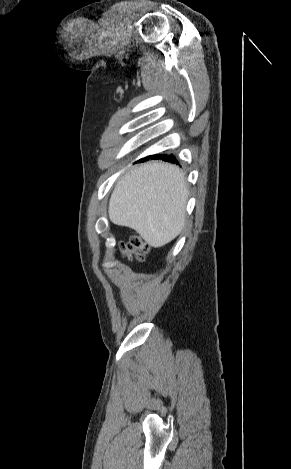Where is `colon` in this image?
Instances as JSON below:
<instances>
[{"instance_id":"1","label":"colon","mask_w":291,"mask_h":469,"mask_svg":"<svg viewBox=\"0 0 291 469\" xmlns=\"http://www.w3.org/2000/svg\"><path fill=\"white\" fill-rule=\"evenodd\" d=\"M149 247L138 237H133L123 245L124 253L137 260H143L148 253Z\"/></svg>"}]
</instances>
